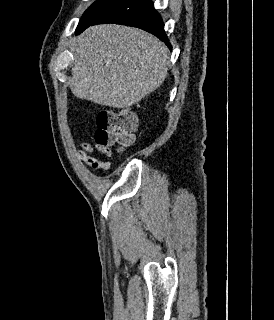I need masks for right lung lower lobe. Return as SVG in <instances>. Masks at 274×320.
Masks as SVG:
<instances>
[{
  "label": "right lung lower lobe",
  "instance_id": "right-lung-lower-lobe-1",
  "mask_svg": "<svg viewBox=\"0 0 274 320\" xmlns=\"http://www.w3.org/2000/svg\"><path fill=\"white\" fill-rule=\"evenodd\" d=\"M102 23H116L143 29L157 36L171 49L164 32L162 18L154 9L151 0H124L91 24L76 29V32L79 34L91 25Z\"/></svg>",
  "mask_w": 274,
  "mask_h": 320
}]
</instances>
